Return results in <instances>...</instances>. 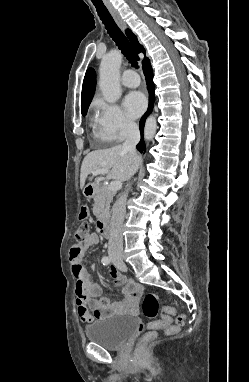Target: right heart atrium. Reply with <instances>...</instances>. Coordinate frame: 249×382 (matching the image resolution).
Wrapping results in <instances>:
<instances>
[{
	"label": "right heart atrium",
	"instance_id": "right-heart-atrium-1",
	"mask_svg": "<svg viewBox=\"0 0 249 382\" xmlns=\"http://www.w3.org/2000/svg\"><path fill=\"white\" fill-rule=\"evenodd\" d=\"M95 109L96 124L106 140L121 141L136 131V122L118 104L99 99Z\"/></svg>",
	"mask_w": 249,
	"mask_h": 382
}]
</instances>
